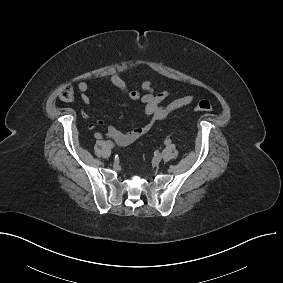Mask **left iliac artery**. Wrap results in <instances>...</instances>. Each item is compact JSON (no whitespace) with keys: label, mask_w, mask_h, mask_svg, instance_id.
I'll use <instances>...</instances> for the list:
<instances>
[{"label":"left iliac artery","mask_w":283,"mask_h":283,"mask_svg":"<svg viewBox=\"0 0 283 283\" xmlns=\"http://www.w3.org/2000/svg\"><path fill=\"white\" fill-rule=\"evenodd\" d=\"M164 143H165L166 145H169V144L171 143V140H170V139H166V140L164 141Z\"/></svg>","instance_id":"left-iliac-artery-1"}]
</instances>
